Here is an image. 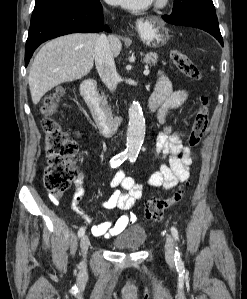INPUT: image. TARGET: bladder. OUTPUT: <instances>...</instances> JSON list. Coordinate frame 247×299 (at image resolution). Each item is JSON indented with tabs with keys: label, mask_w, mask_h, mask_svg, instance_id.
I'll use <instances>...</instances> for the list:
<instances>
[{
	"label": "bladder",
	"mask_w": 247,
	"mask_h": 299,
	"mask_svg": "<svg viewBox=\"0 0 247 299\" xmlns=\"http://www.w3.org/2000/svg\"><path fill=\"white\" fill-rule=\"evenodd\" d=\"M146 239L145 229L142 226L134 225L120 233L112 244L118 250L130 251L142 247Z\"/></svg>",
	"instance_id": "31cf9c89"
}]
</instances>
